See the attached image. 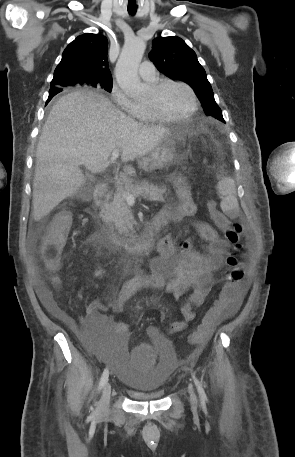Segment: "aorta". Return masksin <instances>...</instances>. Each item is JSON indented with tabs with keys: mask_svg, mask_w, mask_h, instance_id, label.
I'll return each mask as SVG.
<instances>
[{
	"mask_svg": "<svg viewBox=\"0 0 295 457\" xmlns=\"http://www.w3.org/2000/svg\"><path fill=\"white\" fill-rule=\"evenodd\" d=\"M146 43L140 38L125 42L115 67V76L120 88L130 97L139 99L146 94V87L138 76Z\"/></svg>",
	"mask_w": 295,
	"mask_h": 457,
	"instance_id": "762f6f07",
	"label": "aorta"
}]
</instances>
